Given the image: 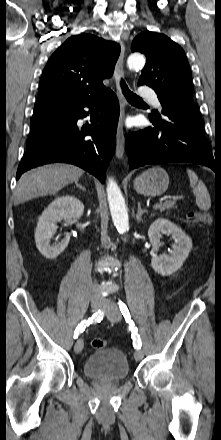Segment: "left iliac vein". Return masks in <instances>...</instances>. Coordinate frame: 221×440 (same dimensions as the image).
<instances>
[{
  "label": "left iliac vein",
  "mask_w": 221,
  "mask_h": 440,
  "mask_svg": "<svg viewBox=\"0 0 221 440\" xmlns=\"http://www.w3.org/2000/svg\"><path fill=\"white\" fill-rule=\"evenodd\" d=\"M103 308L106 309L107 318L112 322H118L121 318V313L118 306L110 299L103 300ZM134 358L136 361H140L143 358V351L137 349L134 353Z\"/></svg>",
  "instance_id": "left-iliac-vein-1"
}]
</instances>
